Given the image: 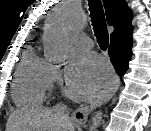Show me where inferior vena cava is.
Segmentation results:
<instances>
[{"label": "inferior vena cava", "mask_w": 151, "mask_h": 131, "mask_svg": "<svg viewBox=\"0 0 151 131\" xmlns=\"http://www.w3.org/2000/svg\"><path fill=\"white\" fill-rule=\"evenodd\" d=\"M58 107H60L62 110H65V108H66L64 105H58ZM65 118H66V120H68L69 122H71L68 115H66Z\"/></svg>", "instance_id": "obj_1"}]
</instances>
